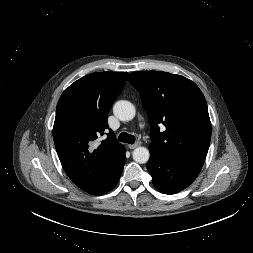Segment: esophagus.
Listing matches in <instances>:
<instances>
[{
	"label": "esophagus",
	"mask_w": 253,
	"mask_h": 253,
	"mask_svg": "<svg viewBox=\"0 0 253 253\" xmlns=\"http://www.w3.org/2000/svg\"><path fill=\"white\" fill-rule=\"evenodd\" d=\"M140 145H141V142L138 141V142H136V143H134V144L128 145V147H129L130 149H135V148L139 147Z\"/></svg>",
	"instance_id": "obj_1"
}]
</instances>
